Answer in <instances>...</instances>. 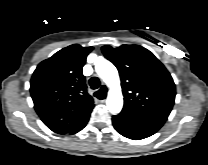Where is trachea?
<instances>
[{
    "label": "trachea",
    "mask_w": 208,
    "mask_h": 165,
    "mask_svg": "<svg viewBox=\"0 0 208 165\" xmlns=\"http://www.w3.org/2000/svg\"><path fill=\"white\" fill-rule=\"evenodd\" d=\"M89 85L93 90L98 89L100 86V80L97 77H92L89 80ZM95 96L98 99H104L106 97V89L102 87L100 90L95 92Z\"/></svg>",
    "instance_id": "trachea-1"
}]
</instances>
